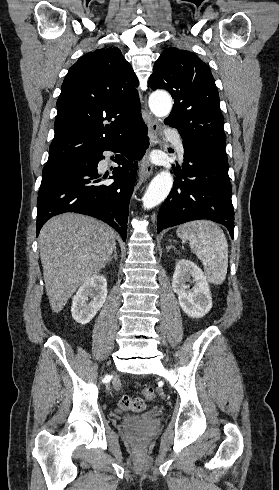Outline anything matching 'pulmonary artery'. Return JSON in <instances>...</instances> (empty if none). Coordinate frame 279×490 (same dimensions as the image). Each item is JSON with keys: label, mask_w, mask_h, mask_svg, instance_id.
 <instances>
[{"label": "pulmonary artery", "mask_w": 279, "mask_h": 490, "mask_svg": "<svg viewBox=\"0 0 279 490\" xmlns=\"http://www.w3.org/2000/svg\"><path fill=\"white\" fill-rule=\"evenodd\" d=\"M167 134L169 137H176L178 134V131L176 128H169L167 131ZM177 147H178L179 153L181 155H183L184 151H183L182 144L180 142L177 143Z\"/></svg>", "instance_id": "1"}]
</instances>
